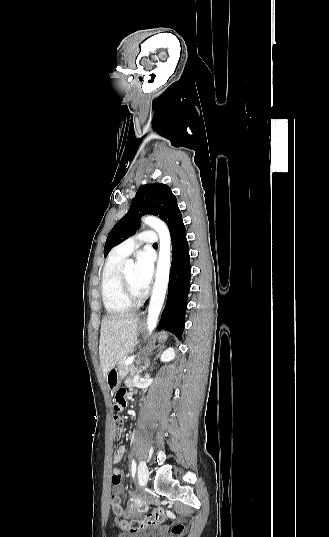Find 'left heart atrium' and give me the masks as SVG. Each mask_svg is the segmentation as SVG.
Returning <instances> with one entry per match:
<instances>
[{"label": "left heart atrium", "instance_id": "39dd6f15", "mask_svg": "<svg viewBox=\"0 0 329 537\" xmlns=\"http://www.w3.org/2000/svg\"><path fill=\"white\" fill-rule=\"evenodd\" d=\"M153 276V259L145 250L138 252L135 264V281L138 288L147 290Z\"/></svg>", "mask_w": 329, "mask_h": 537}]
</instances>
